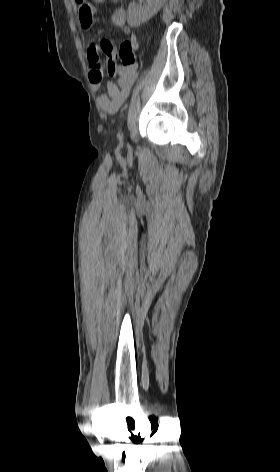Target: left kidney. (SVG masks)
Instances as JSON below:
<instances>
[{"label": "left kidney", "instance_id": "obj_1", "mask_svg": "<svg viewBox=\"0 0 280 472\" xmlns=\"http://www.w3.org/2000/svg\"><path fill=\"white\" fill-rule=\"evenodd\" d=\"M166 0H146L143 6L130 3L128 7V23L131 27H137L149 20L157 13Z\"/></svg>", "mask_w": 280, "mask_h": 472}]
</instances>
